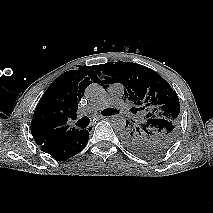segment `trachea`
Here are the masks:
<instances>
[{"label":"trachea","mask_w":213,"mask_h":213,"mask_svg":"<svg viewBox=\"0 0 213 213\" xmlns=\"http://www.w3.org/2000/svg\"><path fill=\"white\" fill-rule=\"evenodd\" d=\"M117 113H118V110L112 109V108L105 109L102 111V114L105 116H111ZM89 123H90V119L87 116H84L83 118L78 120L76 125L79 126L80 128H86L89 125Z\"/></svg>","instance_id":"trachea-1"}]
</instances>
